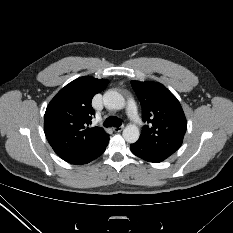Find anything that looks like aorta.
<instances>
[{
    "mask_svg": "<svg viewBox=\"0 0 233 233\" xmlns=\"http://www.w3.org/2000/svg\"><path fill=\"white\" fill-rule=\"evenodd\" d=\"M103 101L105 106L112 110H120L125 106L124 97L114 90L106 91ZM122 135L126 142L135 143L140 136L139 128L135 124H129L124 128Z\"/></svg>",
    "mask_w": 233,
    "mask_h": 233,
    "instance_id": "aorta-1",
    "label": "aorta"
}]
</instances>
